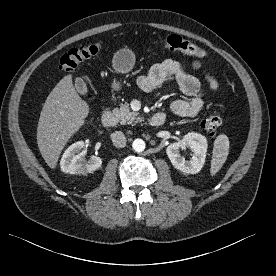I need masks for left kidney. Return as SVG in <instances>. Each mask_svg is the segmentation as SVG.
<instances>
[{
  "label": "left kidney",
  "instance_id": "obj_1",
  "mask_svg": "<svg viewBox=\"0 0 276 276\" xmlns=\"http://www.w3.org/2000/svg\"><path fill=\"white\" fill-rule=\"evenodd\" d=\"M207 146V139L203 135L190 132L182 140L170 144L166 149V153L176 169L187 174H196L205 163ZM185 148L193 152L190 160H186L180 154V149Z\"/></svg>",
  "mask_w": 276,
  "mask_h": 276
}]
</instances>
